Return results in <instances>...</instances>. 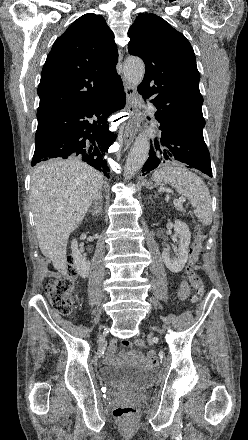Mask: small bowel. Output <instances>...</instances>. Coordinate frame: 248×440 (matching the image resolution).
Listing matches in <instances>:
<instances>
[{
	"label": "small bowel",
	"mask_w": 248,
	"mask_h": 440,
	"mask_svg": "<svg viewBox=\"0 0 248 440\" xmlns=\"http://www.w3.org/2000/svg\"><path fill=\"white\" fill-rule=\"evenodd\" d=\"M188 293H189L188 285L186 284V282H182L180 284L179 292H178L180 300H185L188 296ZM120 345H121V347H130V345H131L130 338H121ZM116 347H117V340L114 339L110 342L109 350H108V354H107V360L109 362L116 361V356H115ZM131 356L133 358L139 359L141 361H153V357L151 355L144 356L142 354L131 353Z\"/></svg>",
	"instance_id": "1"
}]
</instances>
